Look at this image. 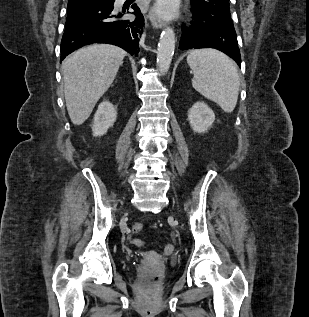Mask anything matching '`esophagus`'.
<instances>
[{
    "mask_svg": "<svg viewBox=\"0 0 309 317\" xmlns=\"http://www.w3.org/2000/svg\"><path fill=\"white\" fill-rule=\"evenodd\" d=\"M148 17L152 26L155 28L160 29L166 25L165 20L157 16L152 10L149 12Z\"/></svg>",
    "mask_w": 309,
    "mask_h": 317,
    "instance_id": "obj_1",
    "label": "esophagus"
}]
</instances>
